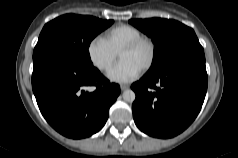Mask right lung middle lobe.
I'll use <instances>...</instances> for the list:
<instances>
[{
    "mask_svg": "<svg viewBox=\"0 0 238 158\" xmlns=\"http://www.w3.org/2000/svg\"><path fill=\"white\" fill-rule=\"evenodd\" d=\"M113 22L93 16H60L43 27L34 48L33 58L45 51H56L78 64L93 67L88 51L90 42Z\"/></svg>",
    "mask_w": 238,
    "mask_h": 158,
    "instance_id": "1",
    "label": "right lung middle lobe"
}]
</instances>
